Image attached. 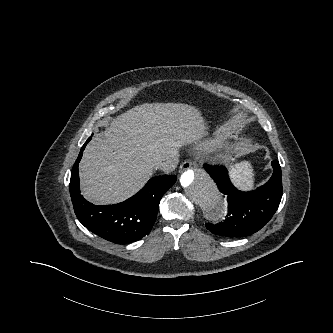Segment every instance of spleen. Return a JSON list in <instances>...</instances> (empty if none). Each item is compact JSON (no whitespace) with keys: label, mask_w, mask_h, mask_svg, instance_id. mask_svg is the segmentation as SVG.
Segmentation results:
<instances>
[{"label":"spleen","mask_w":333,"mask_h":333,"mask_svg":"<svg viewBox=\"0 0 333 333\" xmlns=\"http://www.w3.org/2000/svg\"><path fill=\"white\" fill-rule=\"evenodd\" d=\"M254 173L250 163H240L230 168V178L240 190H251L254 186Z\"/></svg>","instance_id":"1"}]
</instances>
